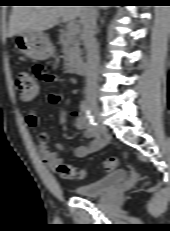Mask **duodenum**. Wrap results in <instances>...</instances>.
Instances as JSON below:
<instances>
[{"mask_svg":"<svg viewBox=\"0 0 170 231\" xmlns=\"http://www.w3.org/2000/svg\"><path fill=\"white\" fill-rule=\"evenodd\" d=\"M88 72V67L84 62H78L76 65V73L78 75H86Z\"/></svg>","mask_w":170,"mask_h":231,"instance_id":"duodenum-1","label":"duodenum"}]
</instances>
